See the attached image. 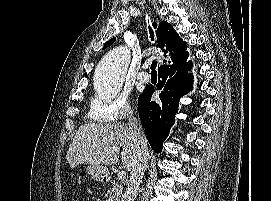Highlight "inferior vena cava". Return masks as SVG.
Instances as JSON below:
<instances>
[{
  "label": "inferior vena cava",
  "mask_w": 271,
  "mask_h": 201,
  "mask_svg": "<svg viewBox=\"0 0 271 201\" xmlns=\"http://www.w3.org/2000/svg\"><path fill=\"white\" fill-rule=\"evenodd\" d=\"M128 127L135 145L136 156L130 171V179L122 201H134L148 161L147 138L141 122L134 116L128 118Z\"/></svg>",
  "instance_id": "inferior-vena-cava-1"
}]
</instances>
